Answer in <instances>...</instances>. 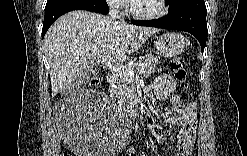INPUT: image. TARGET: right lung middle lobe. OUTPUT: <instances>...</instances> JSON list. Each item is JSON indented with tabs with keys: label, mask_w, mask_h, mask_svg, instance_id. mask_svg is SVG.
<instances>
[{
	"label": "right lung middle lobe",
	"mask_w": 247,
	"mask_h": 156,
	"mask_svg": "<svg viewBox=\"0 0 247 156\" xmlns=\"http://www.w3.org/2000/svg\"><path fill=\"white\" fill-rule=\"evenodd\" d=\"M52 1H54V0H48L47 3L52 2Z\"/></svg>",
	"instance_id": "right-lung-middle-lobe-1"
}]
</instances>
